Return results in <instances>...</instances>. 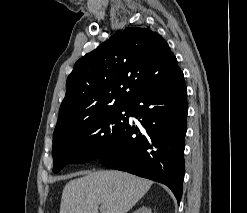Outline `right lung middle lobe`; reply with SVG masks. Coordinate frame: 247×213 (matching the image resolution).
<instances>
[{"label": "right lung middle lobe", "mask_w": 247, "mask_h": 213, "mask_svg": "<svg viewBox=\"0 0 247 213\" xmlns=\"http://www.w3.org/2000/svg\"><path fill=\"white\" fill-rule=\"evenodd\" d=\"M129 113V104L116 106L53 137V172H58L69 163L95 160L102 152L111 149L118 133L128 123Z\"/></svg>", "instance_id": "1"}]
</instances>
